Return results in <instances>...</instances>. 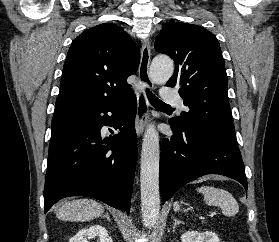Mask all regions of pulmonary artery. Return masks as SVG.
<instances>
[{"label":"pulmonary artery","mask_w":279,"mask_h":242,"mask_svg":"<svg viewBox=\"0 0 279 242\" xmlns=\"http://www.w3.org/2000/svg\"><path fill=\"white\" fill-rule=\"evenodd\" d=\"M161 96L166 103L184 109L180 95L168 86L162 88Z\"/></svg>","instance_id":"pulmonary-artery-1"}]
</instances>
